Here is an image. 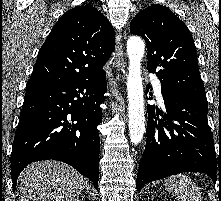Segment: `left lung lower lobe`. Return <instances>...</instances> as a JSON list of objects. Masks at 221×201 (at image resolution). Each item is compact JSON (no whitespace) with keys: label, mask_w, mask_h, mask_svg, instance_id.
<instances>
[{"label":"left lung lower lobe","mask_w":221,"mask_h":201,"mask_svg":"<svg viewBox=\"0 0 221 201\" xmlns=\"http://www.w3.org/2000/svg\"><path fill=\"white\" fill-rule=\"evenodd\" d=\"M150 85L146 87L149 91ZM166 112L148 105L147 141L139 164L136 189L151 181L182 172H203L214 183L221 179L208 126L206 98L162 91ZM159 115L161 119H159Z\"/></svg>","instance_id":"obj_1"}]
</instances>
